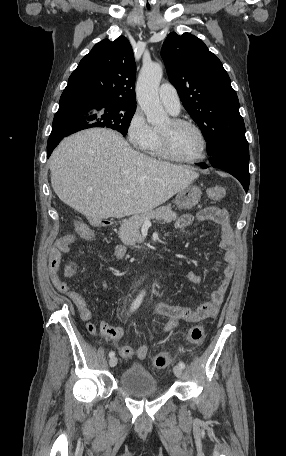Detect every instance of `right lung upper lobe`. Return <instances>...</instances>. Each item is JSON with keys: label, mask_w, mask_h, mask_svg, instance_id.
Wrapping results in <instances>:
<instances>
[{"label": "right lung upper lobe", "mask_w": 286, "mask_h": 456, "mask_svg": "<svg viewBox=\"0 0 286 456\" xmlns=\"http://www.w3.org/2000/svg\"><path fill=\"white\" fill-rule=\"evenodd\" d=\"M135 75L136 63L127 38L104 39L80 61L63 93L136 106Z\"/></svg>", "instance_id": "1"}]
</instances>
